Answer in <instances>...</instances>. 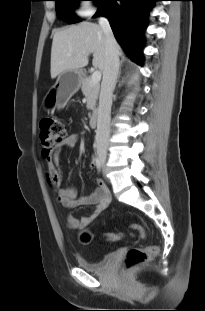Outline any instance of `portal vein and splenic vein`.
Wrapping results in <instances>:
<instances>
[{
    "label": "portal vein and splenic vein",
    "mask_w": 205,
    "mask_h": 311,
    "mask_svg": "<svg viewBox=\"0 0 205 311\" xmlns=\"http://www.w3.org/2000/svg\"><path fill=\"white\" fill-rule=\"evenodd\" d=\"M68 55L71 56V54ZM100 80H101V71L99 70L94 71L91 76L90 84H98Z\"/></svg>",
    "instance_id": "obj_1"
}]
</instances>
